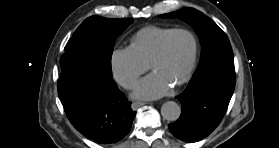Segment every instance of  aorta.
<instances>
[{"mask_svg": "<svg viewBox=\"0 0 279 148\" xmlns=\"http://www.w3.org/2000/svg\"><path fill=\"white\" fill-rule=\"evenodd\" d=\"M163 117L168 121H176L181 114V108L174 101H167L161 107Z\"/></svg>", "mask_w": 279, "mask_h": 148, "instance_id": "1", "label": "aorta"}]
</instances>
